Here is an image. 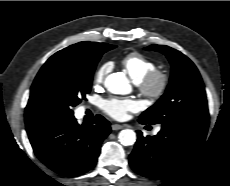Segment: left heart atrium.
<instances>
[{
	"label": "left heart atrium",
	"mask_w": 230,
	"mask_h": 186,
	"mask_svg": "<svg viewBox=\"0 0 230 186\" xmlns=\"http://www.w3.org/2000/svg\"><path fill=\"white\" fill-rule=\"evenodd\" d=\"M102 108L111 117L123 120L128 116L129 112L137 111L139 105L131 99L110 98L102 102Z\"/></svg>",
	"instance_id": "obj_1"
}]
</instances>
